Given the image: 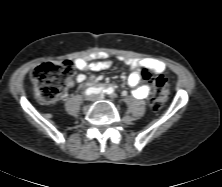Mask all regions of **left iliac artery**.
<instances>
[{
    "instance_id": "left-iliac-artery-1",
    "label": "left iliac artery",
    "mask_w": 222,
    "mask_h": 187,
    "mask_svg": "<svg viewBox=\"0 0 222 187\" xmlns=\"http://www.w3.org/2000/svg\"><path fill=\"white\" fill-rule=\"evenodd\" d=\"M103 92H105L106 94H109V95H113L114 94V90L111 87L103 90Z\"/></svg>"
}]
</instances>
